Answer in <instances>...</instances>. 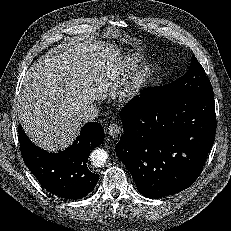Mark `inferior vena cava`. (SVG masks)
I'll list each match as a JSON object with an SVG mask.
<instances>
[{"instance_id": "1", "label": "inferior vena cava", "mask_w": 231, "mask_h": 231, "mask_svg": "<svg viewBox=\"0 0 231 231\" xmlns=\"http://www.w3.org/2000/svg\"><path fill=\"white\" fill-rule=\"evenodd\" d=\"M97 113L98 111L93 105H87L79 111L77 116L81 122L87 123L95 120L97 117Z\"/></svg>"}]
</instances>
